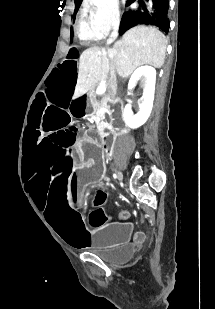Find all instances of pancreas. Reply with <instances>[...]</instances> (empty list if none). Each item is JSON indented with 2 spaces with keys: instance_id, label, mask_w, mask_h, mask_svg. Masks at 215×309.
<instances>
[{
  "instance_id": "cf45deb5",
  "label": "pancreas",
  "mask_w": 215,
  "mask_h": 309,
  "mask_svg": "<svg viewBox=\"0 0 215 309\" xmlns=\"http://www.w3.org/2000/svg\"><path fill=\"white\" fill-rule=\"evenodd\" d=\"M88 96H90V98H95V92H88ZM104 108V106H103ZM95 110V114H96V120H99V118H101V116H103L104 114V110H99V108H94ZM97 126H100L99 122H96Z\"/></svg>"
}]
</instances>
